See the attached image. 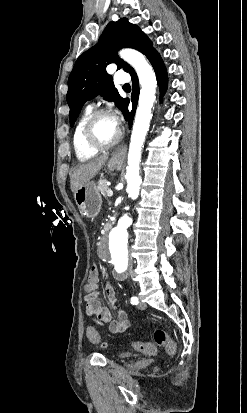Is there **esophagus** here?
Here are the masks:
<instances>
[{"label":"esophagus","instance_id":"obj_1","mask_svg":"<svg viewBox=\"0 0 247 413\" xmlns=\"http://www.w3.org/2000/svg\"><path fill=\"white\" fill-rule=\"evenodd\" d=\"M127 153V146L126 144L119 145L113 152V154L120 158L121 160L125 159Z\"/></svg>","mask_w":247,"mask_h":413}]
</instances>
